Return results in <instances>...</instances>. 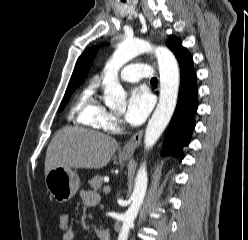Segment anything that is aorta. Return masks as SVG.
<instances>
[{
    "label": "aorta",
    "mask_w": 248,
    "mask_h": 240,
    "mask_svg": "<svg viewBox=\"0 0 248 240\" xmlns=\"http://www.w3.org/2000/svg\"><path fill=\"white\" fill-rule=\"evenodd\" d=\"M148 52H154L160 73L159 103L146 127L144 144L150 149L157 142L168 125L177 103L179 90V68L174 55L164 47H153L141 39H131L122 42L115 50L111 60L104 68V101L110 108L123 107L126 103V93L118 81V71L134 57ZM148 185L146 165L142 164L135 178L134 190L131 195V205L124 214L122 228L118 240H128L129 231L134 225L139 209L143 203Z\"/></svg>",
    "instance_id": "aorta-1"
}]
</instances>
